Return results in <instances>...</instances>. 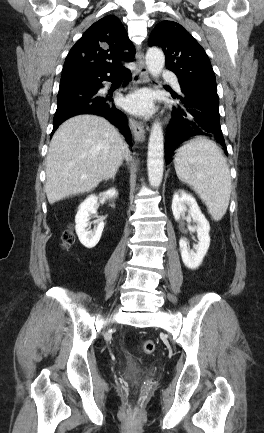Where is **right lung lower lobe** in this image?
Here are the masks:
<instances>
[{
    "label": "right lung lower lobe",
    "mask_w": 264,
    "mask_h": 433,
    "mask_svg": "<svg viewBox=\"0 0 264 433\" xmlns=\"http://www.w3.org/2000/svg\"><path fill=\"white\" fill-rule=\"evenodd\" d=\"M129 75V70L124 69L116 74H104L99 77L76 79L60 84L52 135L59 125L70 117L79 114H97L115 125L131 144L132 136L125 114L115 107L111 95L98 94V90L103 87L102 81L124 78L125 85L129 81Z\"/></svg>",
    "instance_id": "obj_1"
}]
</instances>
